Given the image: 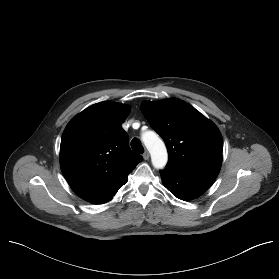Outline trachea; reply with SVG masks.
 Here are the masks:
<instances>
[{
	"mask_svg": "<svg viewBox=\"0 0 279 279\" xmlns=\"http://www.w3.org/2000/svg\"><path fill=\"white\" fill-rule=\"evenodd\" d=\"M131 147H132V150L138 154H142L144 152V148L143 146L141 145V142L138 138H134L132 141H131Z\"/></svg>",
	"mask_w": 279,
	"mask_h": 279,
	"instance_id": "1",
	"label": "trachea"
}]
</instances>
